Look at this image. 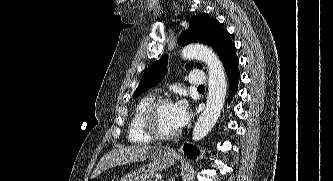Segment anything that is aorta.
I'll list each match as a JSON object with an SVG mask.
<instances>
[{
    "label": "aorta",
    "instance_id": "aorta-1",
    "mask_svg": "<svg viewBox=\"0 0 333 181\" xmlns=\"http://www.w3.org/2000/svg\"><path fill=\"white\" fill-rule=\"evenodd\" d=\"M182 57L200 60L207 65L208 69L207 104L195 123L192 134V139L199 141L210 132L221 114L227 90L226 75L218 56L207 46L189 45L183 48Z\"/></svg>",
    "mask_w": 333,
    "mask_h": 181
}]
</instances>
